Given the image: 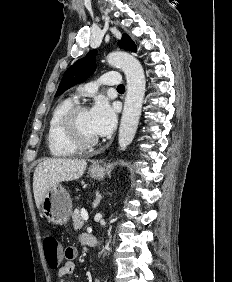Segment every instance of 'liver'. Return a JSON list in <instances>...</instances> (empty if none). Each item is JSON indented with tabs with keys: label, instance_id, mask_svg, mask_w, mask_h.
<instances>
[{
	"label": "liver",
	"instance_id": "6515ba94",
	"mask_svg": "<svg viewBox=\"0 0 232 282\" xmlns=\"http://www.w3.org/2000/svg\"><path fill=\"white\" fill-rule=\"evenodd\" d=\"M84 159L50 158L39 163L33 175V192L39 209L44 195L59 182L80 178L86 170Z\"/></svg>",
	"mask_w": 232,
	"mask_h": 282
}]
</instances>
